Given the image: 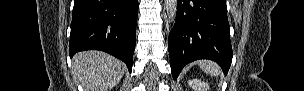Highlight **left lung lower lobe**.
Instances as JSON below:
<instances>
[{
	"instance_id": "left-lung-lower-lobe-1",
	"label": "left lung lower lobe",
	"mask_w": 304,
	"mask_h": 91,
	"mask_svg": "<svg viewBox=\"0 0 304 91\" xmlns=\"http://www.w3.org/2000/svg\"><path fill=\"white\" fill-rule=\"evenodd\" d=\"M174 79L198 59L217 62L227 73L233 52L225 0H178L176 22L168 41Z\"/></svg>"
}]
</instances>
